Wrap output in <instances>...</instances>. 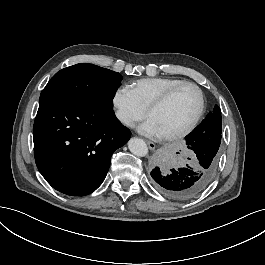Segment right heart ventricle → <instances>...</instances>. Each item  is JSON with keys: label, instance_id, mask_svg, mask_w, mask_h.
Here are the masks:
<instances>
[{"label": "right heart ventricle", "instance_id": "right-heart-ventricle-1", "mask_svg": "<svg viewBox=\"0 0 265 265\" xmlns=\"http://www.w3.org/2000/svg\"><path fill=\"white\" fill-rule=\"evenodd\" d=\"M185 82L183 79L171 77H151L136 80L128 85L136 95L139 103L148 110L165 93Z\"/></svg>", "mask_w": 265, "mask_h": 265}]
</instances>
